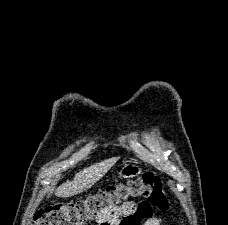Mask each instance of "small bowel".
<instances>
[{"instance_id": "1", "label": "small bowel", "mask_w": 228, "mask_h": 225, "mask_svg": "<svg viewBox=\"0 0 228 225\" xmlns=\"http://www.w3.org/2000/svg\"><path fill=\"white\" fill-rule=\"evenodd\" d=\"M140 199V204L127 201L118 207L106 209L97 217V225H161L162 218L153 216L152 204ZM136 212V213H134ZM124 217V218H123ZM146 218H149L146 220Z\"/></svg>"}]
</instances>
